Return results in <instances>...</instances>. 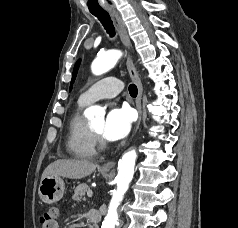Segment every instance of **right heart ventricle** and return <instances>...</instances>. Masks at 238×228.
Wrapping results in <instances>:
<instances>
[{"label":"right heart ventricle","instance_id":"1","mask_svg":"<svg viewBox=\"0 0 238 228\" xmlns=\"http://www.w3.org/2000/svg\"><path fill=\"white\" fill-rule=\"evenodd\" d=\"M87 104L80 99L68 120L66 146L68 152L77 158L89 159L97 154V149L88 123L82 115Z\"/></svg>","mask_w":238,"mask_h":228}]
</instances>
